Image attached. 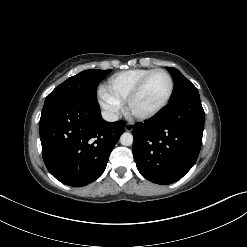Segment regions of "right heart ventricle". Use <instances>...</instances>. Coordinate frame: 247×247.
I'll return each instance as SVG.
<instances>
[{
	"label": "right heart ventricle",
	"instance_id": "e07e8e85",
	"mask_svg": "<svg viewBox=\"0 0 247 247\" xmlns=\"http://www.w3.org/2000/svg\"><path fill=\"white\" fill-rule=\"evenodd\" d=\"M150 71L152 69H132L117 73L108 79L106 90L121 103H124L139 81Z\"/></svg>",
	"mask_w": 247,
	"mask_h": 247
}]
</instances>
